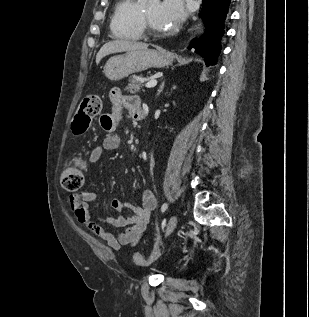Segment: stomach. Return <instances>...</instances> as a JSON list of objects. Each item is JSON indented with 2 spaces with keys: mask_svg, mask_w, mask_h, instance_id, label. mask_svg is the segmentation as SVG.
<instances>
[{
  "mask_svg": "<svg viewBox=\"0 0 309 317\" xmlns=\"http://www.w3.org/2000/svg\"><path fill=\"white\" fill-rule=\"evenodd\" d=\"M172 61V55L160 47L137 49L112 56L105 64L103 72L109 80L119 81L149 68L165 67Z\"/></svg>",
  "mask_w": 309,
  "mask_h": 317,
  "instance_id": "obj_1",
  "label": "stomach"
}]
</instances>
